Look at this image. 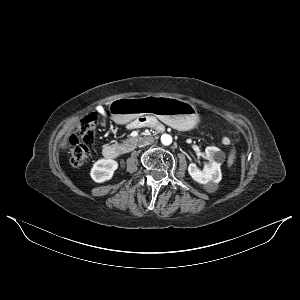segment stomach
Returning a JSON list of instances; mask_svg holds the SVG:
<instances>
[{
	"instance_id": "0dacf381",
	"label": "stomach",
	"mask_w": 300,
	"mask_h": 300,
	"mask_svg": "<svg viewBox=\"0 0 300 300\" xmlns=\"http://www.w3.org/2000/svg\"><path fill=\"white\" fill-rule=\"evenodd\" d=\"M109 112L119 124L151 114L179 130L193 129L200 121L196 107L190 102L162 95L120 98L109 105Z\"/></svg>"
}]
</instances>
